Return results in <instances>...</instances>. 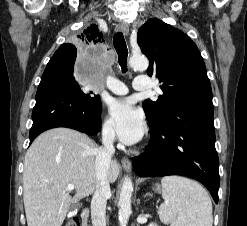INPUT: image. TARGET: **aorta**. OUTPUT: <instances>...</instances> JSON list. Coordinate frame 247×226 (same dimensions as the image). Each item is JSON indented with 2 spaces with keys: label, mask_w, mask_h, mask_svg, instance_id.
Returning a JSON list of instances; mask_svg holds the SVG:
<instances>
[{
  "label": "aorta",
  "mask_w": 247,
  "mask_h": 226,
  "mask_svg": "<svg viewBox=\"0 0 247 226\" xmlns=\"http://www.w3.org/2000/svg\"><path fill=\"white\" fill-rule=\"evenodd\" d=\"M129 65L133 69L146 70L149 66L148 59L143 56H133L129 60ZM133 192V183L130 178H125L119 197V223L120 226H126L128 223L129 216L131 214V197Z\"/></svg>",
  "instance_id": "obj_1"
}]
</instances>
